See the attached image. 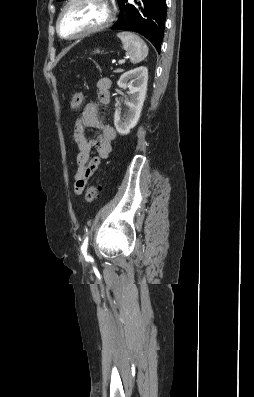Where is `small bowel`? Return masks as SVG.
<instances>
[{
    "label": "small bowel",
    "mask_w": 254,
    "mask_h": 397,
    "mask_svg": "<svg viewBox=\"0 0 254 397\" xmlns=\"http://www.w3.org/2000/svg\"><path fill=\"white\" fill-rule=\"evenodd\" d=\"M111 81L101 78L96 82L98 101L102 105H108L111 101ZM86 128H94L98 134L93 139L86 136ZM116 132L110 124L101 122L99 108L96 102L85 105L80 117L74 126V142L78 149L76 158V170L74 174V192L82 194L91 177L99 167L102 160L107 159L111 153V142ZM95 149L97 155L91 158V152Z\"/></svg>",
    "instance_id": "c3829d8e"
}]
</instances>
